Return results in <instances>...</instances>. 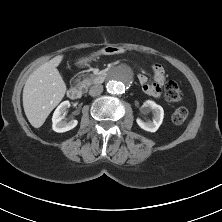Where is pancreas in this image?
<instances>
[{"instance_id":"obj_1","label":"pancreas","mask_w":222,"mask_h":222,"mask_svg":"<svg viewBox=\"0 0 222 222\" xmlns=\"http://www.w3.org/2000/svg\"><path fill=\"white\" fill-rule=\"evenodd\" d=\"M95 81V76L93 74H90L83 78L82 81L78 80L77 86L79 88L87 89L90 85H92Z\"/></svg>"}]
</instances>
